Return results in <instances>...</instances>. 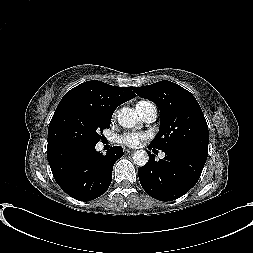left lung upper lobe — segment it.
<instances>
[{
    "mask_svg": "<svg viewBox=\"0 0 253 253\" xmlns=\"http://www.w3.org/2000/svg\"><path fill=\"white\" fill-rule=\"evenodd\" d=\"M138 96L153 101L160 110V130L150 143L153 148H189L208 154L209 133L195 97L183 87L159 81L132 87Z\"/></svg>",
    "mask_w": 253,
    "mask_h": 253,
    "instance_id": "1",
    "label": "left lung upper lobe"
}]
</instances>
